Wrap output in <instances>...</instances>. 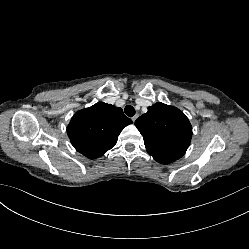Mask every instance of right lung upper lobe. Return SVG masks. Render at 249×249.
Listing matches in <instances>:
<instances>
[{
  "label": "right lung upper lobe",
  "mask_w": 249,
  "mask_h": 249,
  "mask_svg": "<svg viewBox=\"0 0 249 249\" xmlns=\"http://www.w3.org/2000/svg\"><path fill=\"white\" fill-rule=\"evenodd\" d=\"M131 123L121 108L99 102L76 112L67 134L78 152L94 159L110 150L123 128Z\"/></svg>",
  "instance_id": "1"
}]
</instances>
